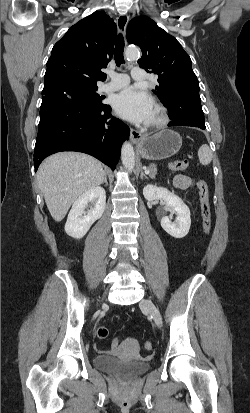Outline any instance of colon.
Returning <instances> with one entry per match:
<instances>
[{
	"instance_id": "obj_1",
	"label": "colon",
	"mask_w": 250,
	"mask_h": 413,
	"mask_svg": "<svg viewBox=\"0 0 250 413\" xmlns=\"http://www.w3.org/2000/svg\"><path fill=\"white\" fill-rule=\"evenodd\" d=\"M189 165L188 160H176L169 164V168L172 171H182L187 169ZM198 189H199V198L201 204V213H202V220H203V229L206 234L210 233L211 230V213H210V205H209V194H208V187L207 184L200 180L198 181ZM97 336L99 338H106L108 336V329L105 326H100L97 329ZM121 338L118 335H115L110 343L111 349H117L119 346V342ZM147 351H151L153 346L152 343L147 341L144 345Z\"/></svg>"
}]
</instances>
